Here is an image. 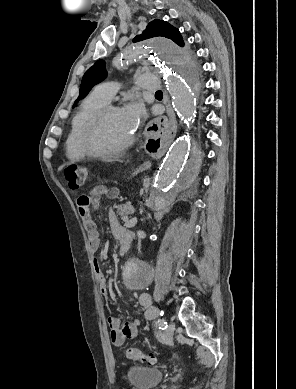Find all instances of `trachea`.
Segmentation results:
<instances>
[{
	"instance_id": "3493384b",
	"label": "trachea",
	"mask_w": 296,
	"mask_h": 389,
	"mask_svg": "<svg viewBox=\"0 0 296 389\" xmlns=\"http://www.w3.org/2000/svg\"><path fill=\"white\" fill-rule=\"evenodd\" d=\"M155 94H156V95H162V91H161V90H158Z\"/></svg>"
}]
</instances>
